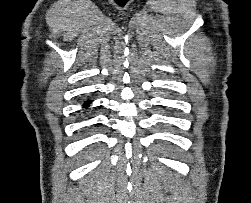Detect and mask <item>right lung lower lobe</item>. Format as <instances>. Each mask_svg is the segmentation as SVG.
I'll list each match as a JSON object with an SVG mask.
<instances>
[{
  "label": "right lung lower lobe",
  "mask_w": 251,
  "mask_h": 203,
  "mask_svg": "<svg viewBox=\"0 0 251 203\" xmlns=\"http://www.w3.org/2000/svg\"><path fill=\"white\" fill-rule=\"evenodd\" d=\"M89 104H90V101H89V100H88V101H85V102L83 103V108L87 109V108L89 107Z\"/></svg>",
  "instance_id": "right-lung-lower-lobe-1"
}]
</instances>
